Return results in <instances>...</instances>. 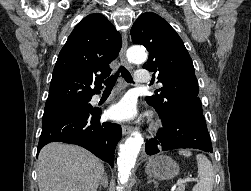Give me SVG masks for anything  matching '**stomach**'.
<instances>
[{
  "mask_svg": "<svg viewBox=\"0 0 251 191\" xmlns=\"http://www.w3.org/2000/svg\"><path fill=\"white\" fill-rule=\"evenodd\" d=\"M179 169L178 163L169 155H156L145 167L147 175L155 179H171L178 175Z\"/></svg>",
  "mask_w": 251,
  "mask_h": 191,
  "instance_id": "1",
  "label": "stomach"
}]
</instances>
